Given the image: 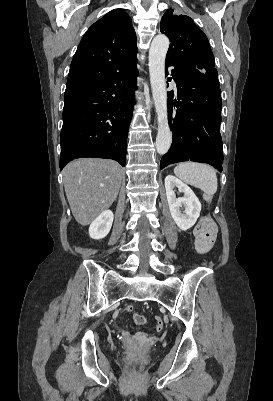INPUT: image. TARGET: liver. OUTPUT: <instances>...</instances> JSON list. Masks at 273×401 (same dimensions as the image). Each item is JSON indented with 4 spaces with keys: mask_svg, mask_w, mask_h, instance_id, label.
I'll use <instances>...</instances> for the list:
<instances>
[{
    "mask_svg": "<svg viewBox=\"0 0 273 401\" xmlns=\"http://www.w3.org/2000/svg\"><path fill=\"white\" fill-rule=\"evenodd\" d=\"M123 172L122 166L110 158H77L65 166L64 188L77 223L89 225L111 207Z\"/></svg>",
    "mask_w": 273,
    "mask_h": 401,
    "instance_id": "liver-1",
    "label": "liver"
}]
</instances>
